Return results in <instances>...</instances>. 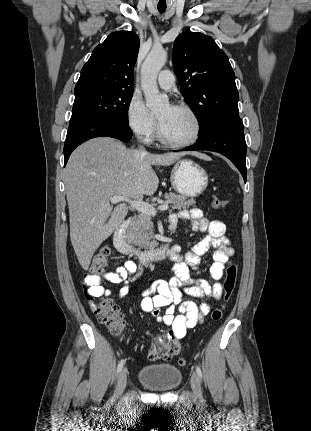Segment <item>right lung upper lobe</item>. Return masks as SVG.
<instances>
[{"label":"right lung upper lobe","mask_w":311,"mask_h":431,"mask_svg":"<svg viewBox=\"0 0 311 431\" xmlns=\"http://www.w3.org/2000/svg\"><path fill=\"white\" fill-rule=\"evenodd\" d=\"M138 50L139 37L134 32L111 33L83 66L75 91L87 88L133 91Z\"/></svg>","instance_id":"1"}]
</instances>
